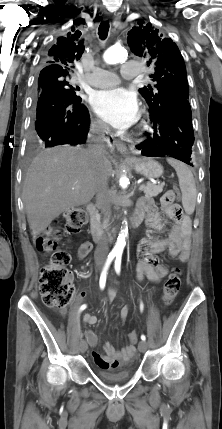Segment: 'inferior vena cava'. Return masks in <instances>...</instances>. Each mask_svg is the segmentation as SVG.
<instances>
[{
	"label": "inferior vena cava",
	"mask_w": 222,
	"mask_h": 429,
	"mask_svg": "<svg viewBox=\"0 0 222 429\" xmlns=\"http://www.w3.org/2000/svg\"><path fill=\"white\" fill-rule=\"evenodd\" d=\"M110 131L108 125L101 121H96L91 125L90 133L88 134V139L90 144L88 145L87 153L93 157L97 158L102 156L105 151L104 142H105V133ZM97 201L99 202L101 209L105 216L109 217L110 214V198L108 192V184L106 179L103 176H100V179L97 183L96 191ZM109 252L108 239L105 237L97 246L95 250V260H105Z\"/></svg>",
	"instance_id": "1"
}]
</instances>
